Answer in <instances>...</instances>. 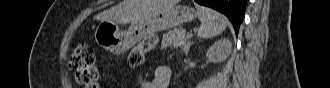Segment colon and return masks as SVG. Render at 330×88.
Wrapping results in <instances>:
<instances>
[{
    "mask_svg": "<svg viewBox=\"0 0 330 88\" xmlns=\"http://www.w3.org/2000/svg\"><path fill=\"white\" fill-rule=\"evenodd\" d=\"M157 39L149 36L134 47L128 56V64L131 68L140 67L145 54L154 49ZM69 68L74 71L76 81L85 88H98L99 71L95 64V56L91 46L78 45L68 61Z\"/></svg>",
    "mask_w": 330,
    "mask_h": 88,
    "instance_id": "1",
    "label": "colon"
}]
</instances>
